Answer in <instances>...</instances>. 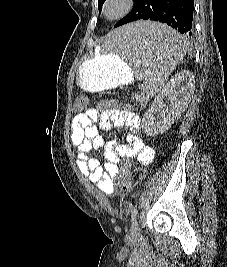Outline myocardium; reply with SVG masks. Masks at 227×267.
<instances>
[{
	"instance_id": "1",
	"label": "myocardium",
	"mask_w": 227,
	"mask_h": 267,
	"mask_svg": "<svg viewBox=\"0 0 227 267\" xmlns=\"http://www.w3.org/2000/svg\"><path fill=\"white\" fill-rule=\"evenodd\" d=\"M134 7V0H104L101 14L108 21L125 17Z\"/></svg>"
}]
</instances>
